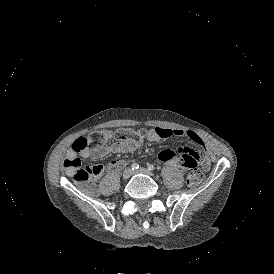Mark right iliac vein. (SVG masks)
<instances>
[{"label": "right iliac vein", "instance_id": "63e3f726", "mask_svg": "<svg viewBox=\"0 0 274 274\" xmlns=\"http://www.w3.org/2000/svg\"><path fill=\"white\" fill-rule=\"evenodd\" d=\"M131 174H132V171L130 169H126V170L123 171L122 178L124 180H127V179H129Z\"/></svg>", "mask_w": 274, "mask_h": 274}]
</instances>
